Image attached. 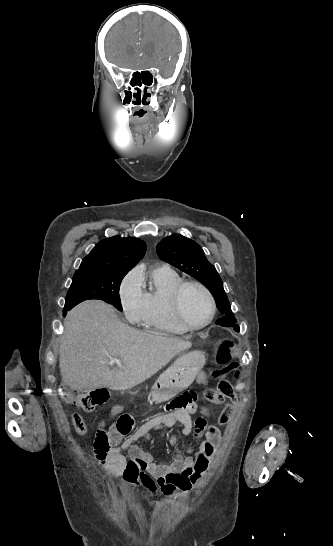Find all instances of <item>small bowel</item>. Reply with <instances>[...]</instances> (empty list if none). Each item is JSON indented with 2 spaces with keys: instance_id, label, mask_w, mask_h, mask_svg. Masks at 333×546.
Instances as JSON below:
<instances>
[{
  "instance_id": "small-bowel-1",
  "label": "small bowel",
  "mask_w": 333,
  "mask_h": 546,
  "mask_svg": "<svg viewBox=\"0 0 333 546\" xmlns=\"http://www.w3.org/2000/svg\"><path fill=\"white\" fill-rule=\"evenodd\" d=\"M198 382L203 387L208 385L205 380L208 375L206 370H198L194 373ZM199 381H202L201 383ZM118 402L112 407L110 418L118 416L122 412V406ZM234 404L226 403L221 408V414L217 425L226 427L230 421L231 411ZM170 412L153 417L145 421L132 435L118 442L109 451L107 457L99 459L105 471L112 476L123 475L125 481L132 484H142L152 493L157 491L173 496L177 492L186 493L191 491L201 479L204 471L212 464L222 444V436L216 424H211L206 430V440L199 450L190 456L176 454L170 464H157L152 456L139 449L140 440H149L151 430L160 429L165 426H173L179 423L183 426L182 433L187 436L192 432L193 425L191 413L194 407L186 406L175 408L168 406ZM130 421V431L133 428V420L129 415H122ZM129 431V432H130ZM128 451V456L123 454Z\"/></svg>"
}]
</instances>
